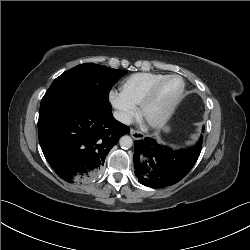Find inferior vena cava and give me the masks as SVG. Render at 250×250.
Wrapping results in <instances>:
<instances>
[{
	"label": "inferior vena cava",
	"instance_id": "inferior-vena-cava-1",
	"mask_svg": "<svg viewBox=\"0 0 250 250\" xmlns=\"http://www.w3.org/2000/svg\"><path fill=\"white\" fill-rule=\"evenodd\" d=\"M113 116L116 120L120 121L123 124L129 125L131 123L130 116L124 112L114 111Z\"/></svg>",
	"mask_w": 250,
	"mask_h": 250
}]
</instances>
